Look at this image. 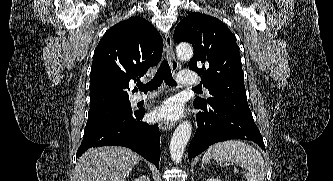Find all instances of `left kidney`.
Instances as JSON below:
<instances>
[{
	"instance_id": "left-kidney-1",
	"label": "left kidney",
	"mask_w": 333,
	"mask_h": 181,
	"mask_svg": "<svg viewBox=\"0 0 333 181\" xmlns=\"http://www.w3.org/2000/svg\"><path fill=\"white\" fill-rule=\"evenodd\" d=\"M207 181H222V180L219 178H209L207 179Z\"/></svg>"
}]
</instances>
